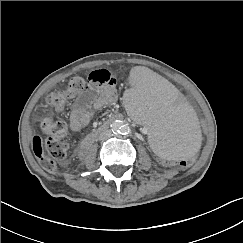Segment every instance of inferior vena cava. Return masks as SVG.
Masks as SVG:
<instances>
[{"label": "inferior vena cava", "instance_id": "1", "mask_svg": "<svg viewBox=\"0 0 243 243\" xmlns=\"http://www.w3.org/2000/svg\"><path fill=\"white\" fill-rule=\"evenodd\" d=\"M111 135H112L111 130H104L99 134V139L105 140V139H108L109 137H111Z\"/></svg>", "mask_w": 243, "mask_h": 243}]
</instances>
